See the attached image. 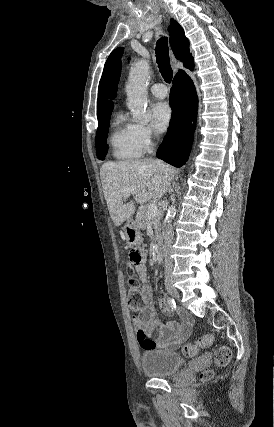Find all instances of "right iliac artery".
I'll return each instance as SVG.
<instances>
[{"label": "right iliac artery", "mask_w": 274, "mask_h": 427, "mask_svg": "<svg viewBox=\"0 0 274 427\" xmlns=\"http://www.w3.org/2000/svg\"><path fill=\"white\" fill-rule=\"evenodd\" d=\"M167 302H168V304L170 305V307H171V309H172V310H175V309H176V303H175V301H174V299H173V298L168 297V298H167Z\"/></svg>", "instance_id": "1"}]
</instances>
